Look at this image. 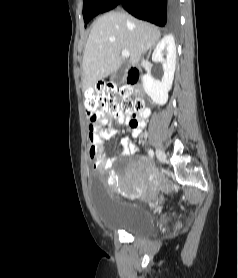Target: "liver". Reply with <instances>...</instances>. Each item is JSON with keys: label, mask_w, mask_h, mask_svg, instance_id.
Masks as SVG:
<instances>
[{"label": "liver", "mask_w": 238, "mask_h": 278, "mask_svg": "<svg viewBox=\"0 0 238 278\" xmlns=\"http://www.w3.org/2000/svg\"><path fill=\"white\" fill-rule=\"evenodd\" d=\"M159 29L122 12H109L92 26L83 56V91L116 72L122 64L121 52L128 50L130 63L136 66L140 57L159 41Z\"/></svg>", "instance_id": "obj_1"}]
</instances>
